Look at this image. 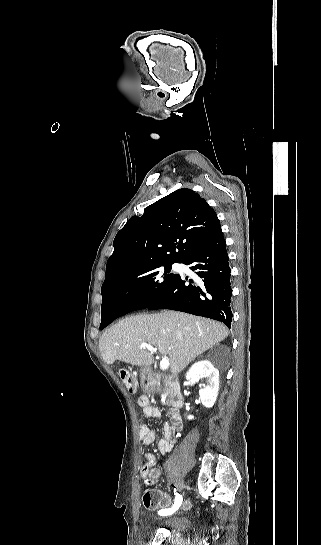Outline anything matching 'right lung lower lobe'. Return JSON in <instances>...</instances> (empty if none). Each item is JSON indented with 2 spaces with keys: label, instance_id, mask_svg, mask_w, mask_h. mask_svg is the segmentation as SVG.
Listing matches in <instances>:
<instances>
[{
  "label": "right lung lower lobe",
  "instance_id": "obj_1",
  "mask_svg": "<svg viewBox=\"0 0 321 545\" xmlns=\"http://www.w3.org/2000/svg\"><path fill=\"white\" fill-rule=\"evenodd\" d=\"M181 263L190 265L201 279L189 280L192 284L187 285L185 279L188 278L177 274L167 289L149 304L114 295L101 307V317L105 320L103 328L122 315L145 308L183 311L221 321L231 328V269L221 226Z\"/></svg>",
  "mask_w": 321,
  "mask_h": 545
}]
</instances>
